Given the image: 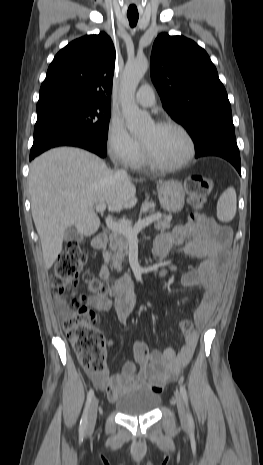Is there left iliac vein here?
<instances>
[{
	"label": "left iliac vein",
	"instance_id": "left-iliac-vein-1",
	"mask_svg": "<svg viewBox=\"0 0 263 465\" xmlns=\"http://www.w3.org/2000/svg\"><path fill=\"white\" fill-rule=\"evenodd\" d=\"M175 400H176V406H177V410H178L180 420L183 423H186L187 422V415H186V410H185V406H184V402H183V398H182L181 393H179V392L175 393Z\"/></svg>",
	"mask_w": 263,
	"mask_h": 465
}]
</instances>
